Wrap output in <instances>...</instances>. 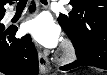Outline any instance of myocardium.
<instances>
[{
    "instance_id": "1",
    "label": "myocardium",
    "mask_w": 107,
    "mask_h": 75,
    "mask_svg": "<svg viewBox=\"0 0 107 75\" xmlns=\"http://www.w3.org/2000/svg\"><path fill=\"white\" fill-rule=\"evenodd\" d=\"M58 58L63 63L71 62L76 58V47L71 40L67 39L63 42Z\"/></svg>"
}]
</instances>
